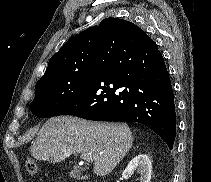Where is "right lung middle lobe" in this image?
<instances>
[{
	"label": "right lung middle lobe",
	"mask_w": 211,
	"mask_h": 182,
	"mask_svg": "<svg viewBox=\"0 0 211 182\" xmlns=\"http://www.w3.org/2000/svg\"><path fill=\"white\" fill-rule=\"evenodd\" d=\"M93 64L39 81L29 105L40 118L58 116L85 88Z\"/></svg>",
	"instance_id": "dd1d6c3e"
}]
</instances>
